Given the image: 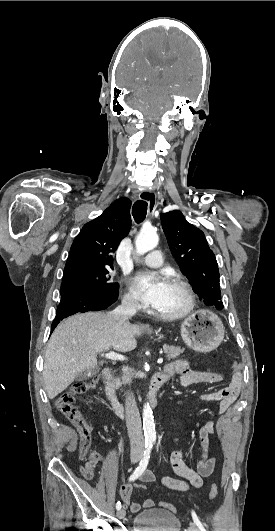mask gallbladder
Here are the masks:
<instances>
[{
    "mask_svg": "<svg viewBox=\"0 0 275 531\" xmlns=\"http://www.w3.org/2000/svg\"><path fill=\"white\" fill-rule=\"evenodd\" d=\"M99 365L101 367L103 363L100 361ZM99 371V367H95V369H91V371H83V373H79V375H77L75 381H87V379H90V377H93V375H97Z\"/></svg>",
    "mask_w": 275,
    "mask_h": 531,
    "instance_id": "1",
    "label": "gallbladder"
}]
</instances>
